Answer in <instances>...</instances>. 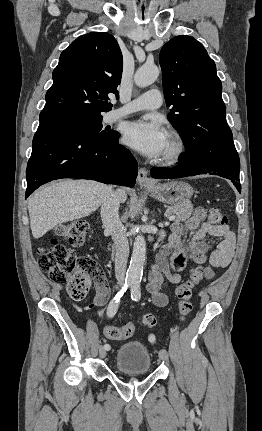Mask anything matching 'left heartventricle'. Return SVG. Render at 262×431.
<instances>
[{"label":"left heart ventricle","mask_w":262,"mask_h":431,"mask_svg":"<svg viewBox=\"0 0 262 431\" xmlns=\"http://www.w3.org/2000/svg\"><path fill=\"white\" fill-rule=\"evenodd\" d=\"M170 147H171V143H170V139L168 138V142H167V145L163 151V154L166 153L170 149Z\"/></svg>","instance_id":"obj_1"}]
</instances>
